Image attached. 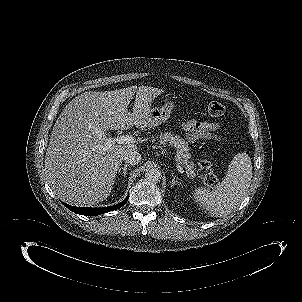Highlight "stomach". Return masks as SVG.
Here are the masks:
<instances>
[{
	"mask_svg": "<svg viewBox=\"0 0 302 302\" xmlns=\"http://www.w3.org/2000/svg\"><path fill=\"white\" fill-rule=\"evenodd\" d=\"M175 107L174 101L171 99L165 100L164 105L161 107H155L149 110L148 121L149 127H155L162 123H165Z\"/></svg>",
	"mask_w": 302,
	"mask_h": 302,
	"instance_id": "0dacf381",
	"label": "stomach"
}]
</instances>
